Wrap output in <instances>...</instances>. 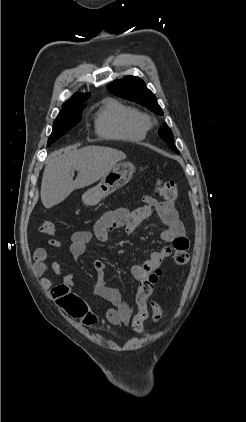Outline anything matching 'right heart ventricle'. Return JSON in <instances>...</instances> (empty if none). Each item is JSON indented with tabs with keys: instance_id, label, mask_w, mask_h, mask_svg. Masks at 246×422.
Listing matches in <instances>:
<instances>
[{
	"instance_id": "e07e8e85",
	"label": "right heart ventricle",
	"mask_w": 246,
	"mask_h": 422,
	"mask_svg": "<svg viewBox=\"0 0 246 422\" xmlns=\"http://www.w3.org/2000/svg\"><path fill=\"white\" fill-rule=\"evenodd\" d=\"M96 131L104 138L140 141L147 133L142 113L116 98H106L96 116Z\"/></svg>"
}]
</instances>
